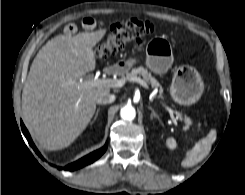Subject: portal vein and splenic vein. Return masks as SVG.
<instances>
[{"mask_svg":"<svg viewBox=\"0 0 245 195\" xmlns=\"http://www.w3.org/2000/svg\"><path fill=\"white\" fill-rule=\"evenodd\" d=\"M131 81L137 82L140 85H142L143 87L148 88V85L146 84V82L139 77H133L131 79ZM73 83L77 84V85H81V84L85 83V84L92 86V87H102V86L103 87H122L124 85V81H114L112 79H98V78H92V79L85 81V82H83V80L80 79L79 81H76ZM164 106L171 116H175V118L177 120H180V121L183 120L182 115L178 111L173 110L166 105H164Z\"/></svg>","mask_w":245,"mask_h":195,"instance_id":"1","label":"portal vein and splenic vein"}]
</instances>
